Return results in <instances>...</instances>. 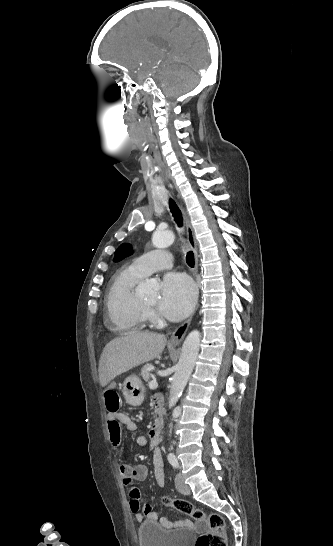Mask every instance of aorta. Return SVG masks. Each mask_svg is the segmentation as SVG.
Instances as JSON below:
<instances>
[{
  "label": "aorta",
  "instance_id": "762f6f07",
  "mask_svg": "<svg viewBox=\"0 0 333 546\" xmlns=\"http://www.w3.org/2000/svg\"><path fill=\"white\" fill-rule=\"evenodd\" d=\"M175 240V235L169 230H158L152 236V243L156 248H166ZM201 334L194 330L186 337L181 351L176 371L172 377L169 408H173L178 402L193 371L199 352Z\"/></svg>",
  "mask_w": 333,
  "mask_h": 546
}]
</instances>
